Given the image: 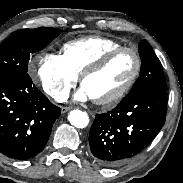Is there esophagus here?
<instances>
[{
    "label": "esophagus",
    "instance_id": "1",
    "mask_svg": "<svg viewBox=\"0 0 183 183\" xmlns=\"http://www.w3.org/2000/svg\"><path fill=\"white\" fill-rule=\"evenodd\" d=\"M71 109H72V107H62L61 112L66 113V112L70 111Z\"/></svg>",
    "mask_w": 183,
    "mask_h": 183
}]
</instances>
